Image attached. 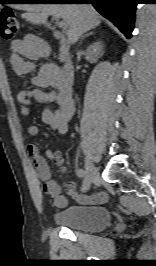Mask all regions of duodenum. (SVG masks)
I'll return each mask as SVG.
<instances>
[{
    "instance_id": "duodenum-1",
    "label": "duodenum",
    "mask_w": 156,
    "mask_h": 266,
    "mask_svg": "<svg viewBox=\"0 0 156 266\" xmlns=\"http://www.w3.org/2000/svg\"><path fill=\"white\" fill-rule=\"evenodd\" d=\"M54 37L58 40L60 51L64 54L68 51L70 42L69 40L60 32H54ZM43 50L48 51V47L44 46ZM74 70L70 62H66L62 69L60 70V81L64 88L71 90L73 83Z\"/></svg>"
}]
</instances>
